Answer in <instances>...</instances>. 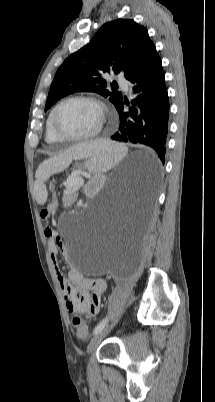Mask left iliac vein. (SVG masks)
<instances>
[{"label":"left iliac vein","instance_id":"1","mask_svg":"<svg viewBox=\"0 0 215 402\" xmlns=\"http://www.w3.org/2000/svg\"><path fill=\"white\" fill-rule=\"evenodd\" d=\"M118 320L114 321L111 325L107 326L103 330H101L99 333H97L92 340L90 341L87 351L88 354H91L92 352L95 351V349L98 347L100 342L106 337V335L114 328V326L117 324Z\"/></svg>","mask_w":215,"mask_h":402}]
</instances>
